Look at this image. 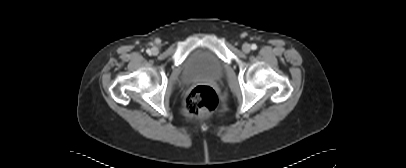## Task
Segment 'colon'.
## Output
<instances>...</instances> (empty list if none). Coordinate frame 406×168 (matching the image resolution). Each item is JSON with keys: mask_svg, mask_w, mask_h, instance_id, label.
<instances>
[{"mask_svg": "<svg viewBox=\"0 0 406 168\" xmlns=\"http://www.w3.org/2000/svg\"><path fill=\"white\" fill-rule=\"evenodd\" d=\"M218 104L215 90L209 85H197L185 100V114L190 119L202 118L214 111Z\"/></svg>", "mask_w": 406, "mask_h": 168, "instance_id": "5ec220e1", "label": "colon"}]
</instances>
